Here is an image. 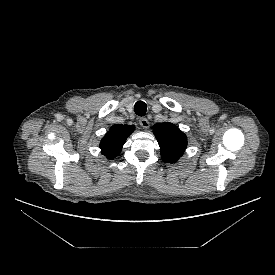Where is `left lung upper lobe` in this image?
<instances>
[{
	"label": "left lung upper lobe",
	"instance_id": "left-lung-upper-lobe-1",
	"mask_svg": "<svg viewBox=\"0 0 275 275\" xmlns=\"http://www.w3.org/2000/svg\"><path fill=\"white\" fill-rule=\"evenodd\" d=\"M153 133L158 140L164 162L174 163L183 155L187 147V137L177 126L170 122L157 123L153 126Z\"/></svg>",
	"mask_w": 275,
	"mask_h": 275
}]
</instances>
